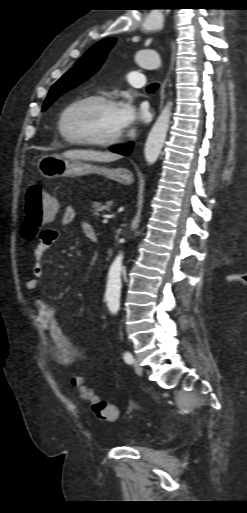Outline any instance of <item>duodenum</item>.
Wrapping results in <instances>:
<instances>
[{"label": "duodenum", "mask_w": 247, "mask_h": 513, "mask_svg": "<svg viewBox=\"0 0 247 513\" xmlns=\"http://www.w3.org/2000/svg\"><path fill=\"white\" fill-rule=\"evenodd\" d=\"M91 240L95 241L96 240V236L95 235H91Z\"/></svg>", "instance_id": "obj_1"}]
</instances>
